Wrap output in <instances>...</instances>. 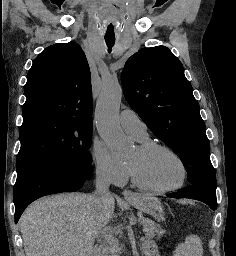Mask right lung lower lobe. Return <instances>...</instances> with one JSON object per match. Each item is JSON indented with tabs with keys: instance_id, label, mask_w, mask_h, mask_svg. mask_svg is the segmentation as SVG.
I'll return each mask as SVG.
<instances>
[{
	"instance_id": "1",
	"label": "right lung lower lobe",
	"mask_w": 236,
	"mask_h": 256,
	"mask_svg": "<svg viewBox=\"0 0 236 256\" xmlns=\"http://www.w3.org/2000/svg\"><path fill=\"white\" fill-rule=\"evenodd\" d=\"M92 173L91 164L70 161L38 165L17 176L13 197L15 223L34 200L54 193L75 192Z\"/></svg>"
}]
</instances>
